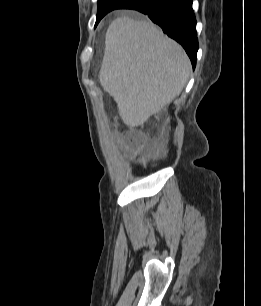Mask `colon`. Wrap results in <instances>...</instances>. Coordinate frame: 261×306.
I'll use <instances>...</instances> for the list:
<instances>
[{
    "instance_id": "1",
    "label": "colon",
    "mask_w": 261,
    "mask_h": 306,
    "mask_svg": "<svg viewBox=\"0 0 261 306\" xmlns=\"http://www.w3.org/2000/svg\"><path fill=\"white\" fill-rule=\"evenodd\" d=\"M128 148L132 153H136L142 143V140L137 138H129L128 141Z\"/></svg>"
}]
</instances>
